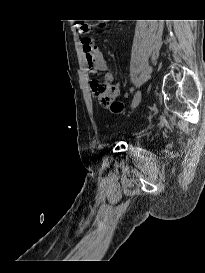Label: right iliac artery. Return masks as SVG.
<instances>
[{
	"instance_id": "obj_1",
	"label": "right iliac artery",
	"mask_w": 205,
	"mask_h": 273,
	"mask_svg": "<svg viewBox=\"0 0 205 273\" xmlns=\"http://www.w3.org/2000/svg\"><path fill=\"white\" fill-rule=\"evenodd\" d=\"M130 90H131V92H132V91H133V88H131Z\"/></svg>"
}]
</instances>
